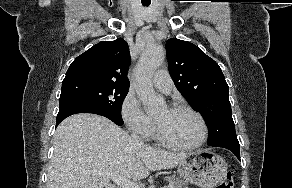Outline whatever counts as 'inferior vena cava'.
Returning a JSON list of instances; mask_svg holds the SVG:
<instances>
[{
    "label": "inferior vena cava",
    "mask_w": 292,
    "mask_h": 188,
    "mask_svg": "<svg viewBox=\"0 0 292 188\" xmlns=\"http://www.w3.org/2000/svg\"><path fill=\"white\" fill-rule=\"evenodd\" d=\"M131 137H132V139L134 140L135 143H137L138 145H143V141L138 138V136L136 135L135 132H133L131 134Z\"/></svg>",
    "instance_id": "inferior-vena-cava-1"
}]
</instances>
